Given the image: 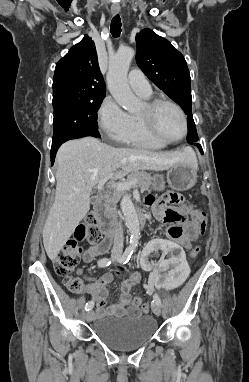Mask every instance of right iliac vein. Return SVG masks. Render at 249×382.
I'll list each match as a JSON object with an SVG mask.
<instances>
[{"label":"right iliac vein","mask_w":249,"mask_h":382,"mask_svg":"<svg viewBox=\"0 0 249 382\" xmlns=\"http://www.w3.org/2000/svg\"><path fill=\"white\" fill-rule=\"evenodd\" d=\"M94 315H95L94 311L93 310H89L86 313V316H85L87 322H91L93 320V318H94Z\"/></svg>","instance_id":"63e3f726"}]
</instances>
